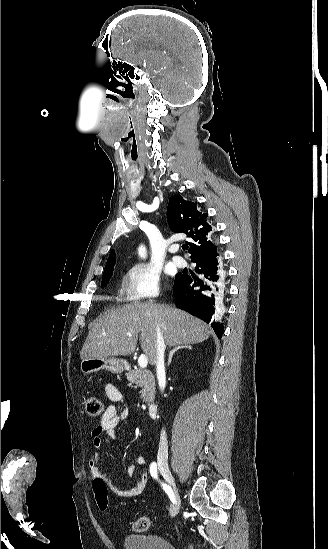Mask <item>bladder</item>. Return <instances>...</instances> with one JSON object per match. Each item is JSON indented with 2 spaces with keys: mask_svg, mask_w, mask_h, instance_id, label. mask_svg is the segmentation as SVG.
Returning a JSON list of instances; mask_svg holds the SVG:
<instances>
[{
  "mask_svg": "<svg viewBox=\"0 0 328 549\" xmlns=\"http://www.w3.org/2000/svg\"><path fill=\"white\" fill-rule=\"evenodd\" d=\"M124 544V549H174L173 543L161 536H149L143 533L125 536Z\"/></svg>",
  "mask_w": 328,
  "mask_h": 549,
  "instance_id": "31cf9c89",
  "label": "bladder"
}]
</instances>
